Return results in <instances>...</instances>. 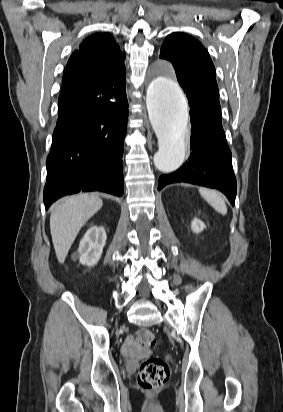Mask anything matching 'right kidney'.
Listing matches in <instances>:
<instances>
[{"instance_id": "1", "label": "right kidney", "mask_w": 283, "mask_h": 412, "mask_svg": "<svg viewBox=\"0 0 283 412\" xmlns=\"http://www.w3.org/2000/svg\"><path fill=\"white\" fill-rule=\"evenodd\" d=\"M106 239L104 227L92 226L89 228L79 244L80 263L87 266L97 264L101 258Z\"/></svg>"}]
</instances>
